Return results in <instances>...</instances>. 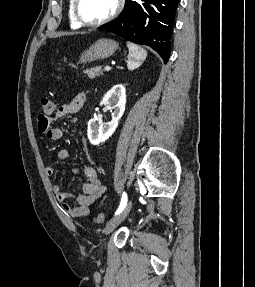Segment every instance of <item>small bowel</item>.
<instances>
[{
	"label": "small bowel",
	"instance_id": "small-bowel-1",
	"mask_svg": "<svg viewBox=\"0 0 255 287\" xmlns=\"http://www.w3.org/2000/svg\"><path fill=\"white\" fill-rule=\"evenodd\" d=\"M85 100L86 95L79 93L70 102L59 106L53 116L50 117L41 114L38 117L39 131L51 141L60 140L63 137V131L59 127L53 126V122L79 111L83 107ZM69 156L70 151L68 148H62L57 152V158L59 160H66ZM45 170L50 177L56 173L53 165H47ZM73 172L77 174L79 170L74 168ZM83 173L85 179L81 185V192L76 195L65 192L59 184L53 186V193L57 202L60 204L63 213L70 218L76 219L88 216L91 205L100 198L105 191L99 175L93 167L85 166ZM71 199L74 200V204L69 202Z\"/></svg>",
	"mask_w": 255,
	"mask_h": 287
}]
</instances>
